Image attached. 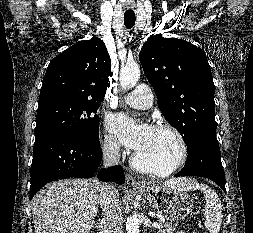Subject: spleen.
<instances>
[{
    "label": "spleen",
    "instance_id": "1",
    "mask_svg": "<svg viewBox=\"0 0 253 233\" xmlns=\"http://www.w3.org/2000/svg\"><path fill=\"white\" fill-rule=\"evenodd\" d=\"M176 184L174 188L182 191L200 190L205 195L206 205L204 208L206 219L205 227L210 233H219L222 219H223V207L221 200L216 192L205 184H199L197 182H186L185 179H174Z\"/></svg>",
    "mask_w": 253,
    "mask_h": 233
}]
</instances>
